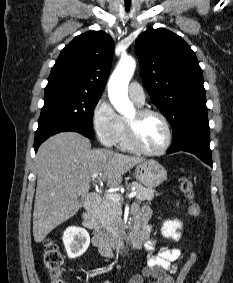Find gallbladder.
<instances>
[{
	"label": "gallbladder",
	"mask_w": 233,
	"mask_h": 283,
	"mask_svg": "<svg viewBox=\"0 0 233 283\" xmlns=\"http://www.w3.org/2000/svg\"><path fill=\"white\" fill-rule=\"evenodd\" d=\"M82 200H83V197L80 198V201H81V202H82Z\"/></svg>",
	"instance_id": "1"
}]
</instances>
